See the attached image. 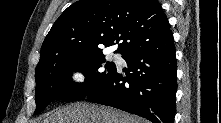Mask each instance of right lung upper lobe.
<instances>
[{"label": "right lung upper lobe", "mask_w": 221, "mask_h": 123, "mask_svg": "<svg viewBox=\"0 0 221 123\" xmlns=\"http://www.w3.org/2000/svg\"><path fill=\"white\" fill-rule=\"evenodd\" d=\"M169 36L168 19L156 0L77 1L53 24L42 44L37 67L118 42L116 52L125 54Z\"/></svg>", "instance_id": "cb5924a9"}]
</instances>
